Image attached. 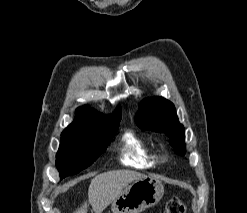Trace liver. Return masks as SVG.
Here are the masks:
<instances>
[{"label": "liver", "instance_id": "1", "mask_svg": "<svg viewBox=\"0 0 247 213\" xmlns=\"http://www.w3.org/2000/svg\"><path fill=\"white\" fill-rule=\"evenodd\" d=\"M146 177L144 174L131 170L109 171L95 176L88 189V202L95 213H102L130 183ZM85 202L74 213H87Z\"/></svg>", "mask_w": 247, "mask_h": 213}]
</instances>
